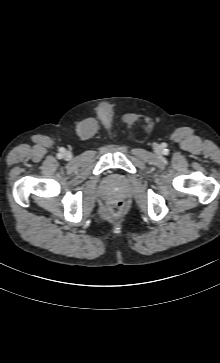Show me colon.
<instances>
[{
    "mask_svg": "<svg viewBox=\"0 0 220 363\" xmlns=\"http://www.w3.org/2000/svg\"><path fill=\"white\" fill-rule=\"evenodd\" d=\"M124 209V203L121 200H111L106 205L108 214L113 217H118L122 214Z\"/></svg>",
    "mask_w": 220,
    "mask_h": 363,
    "instance_id": "1",
    "label": "colon"
}]
</instances>
